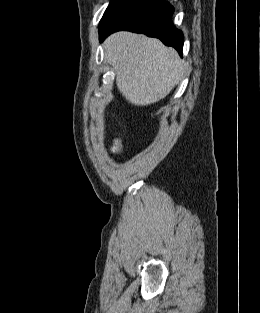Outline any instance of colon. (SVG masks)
I'll return each mask as SVG.
<instances>
[{"mask_svg": "<svg viewBox=\"0 0 260 313\" xmlns=\"http://www.w3.org/2000/svg\"><path fill=\"white\" fill-rule=\"evenodd\" d=\"M120 148H121L120 142H119V141H116L115 144H114V150L119 151Z\"/></svg>", "mask_w": 260, "mask_h": 313, "instance_id": "1", "label": "colon"}]
</instances>
